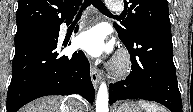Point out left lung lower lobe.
Returning a JSON list of instances; mask_svg holds the SVG:
<instances>
[{"label":"left lung lower lobe","instance_id":"obj_1","mask_svg":"<svg viewBox=\"0 0 193 112\" xmlns=\"http://www.w3.org/2000/svg\"><path fill=\"white\" fill-rule=\"evenodd\" d=\"M121 40L130 53L132 71L125 80L110 85V104L123 99H145L158 102L172 112H182L171 26L145 30L132 42Z\"/></svg>","mask_w":193,"mask_h":112}]
</instances>
